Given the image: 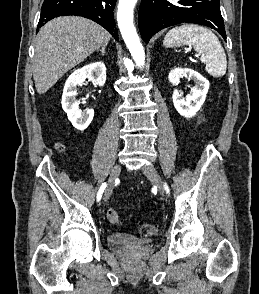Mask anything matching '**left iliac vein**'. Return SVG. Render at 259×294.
Here are the masks:
<instances>
[{"mask_svg": "<svg viewBox=\"0 0 259 294\" xmlns=\"http://www.w3.org/2000/svg\"><path fill=\"white\" fill-rule=\"evenodd\" d=\"M142 172L149 180H151L156 185L159 193L163 196L165 193L163 180L156 168L153 165H146L142 168Z\"/></svg>", "mask_w": 259, "mask_h": 294, "instance_id": "4c4485c4", "label": "left iliac vein"}]
</instances>
